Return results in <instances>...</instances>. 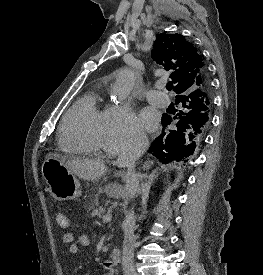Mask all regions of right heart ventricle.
<instances>
[{
	"label": "right heart ventricle",
	"mask_w": 263,
	"mask_h": 275,
	"mask_svg": "<svg viewBox=\"0 0 263 275\" xmlns=\"http://www.w3.org/2000/svg\"><path fill=\"white\" fill-rule=\"evenodd\" d=\"M109 107L99 95L87 92L66 112L59 130V146L71 154H97L104 149V128Z\"/></svg>",
	"instance_id": "1"
}]
</instances>
